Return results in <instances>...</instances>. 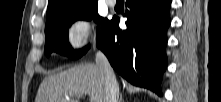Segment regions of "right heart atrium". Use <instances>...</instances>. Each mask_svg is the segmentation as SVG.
Listing matches in <instances>:
<instances>
[{
  "mask_svg": "<svg viewBox=\"0 0 221 102\" xmlns=\"http://www.w3.org/2000/svg\"><path fill=\"white\" fill-rule=\"evenodd\" d=\"M94 35L93 20L86 15H77L69 22L67 28V42L69 47L77 53L86 50Z\"/></svg>",
  "mask_w": 221,
  "mask_h": 102,
  "instance_id": "1",
  "label": "right heart atrium"
}]
</instances>
